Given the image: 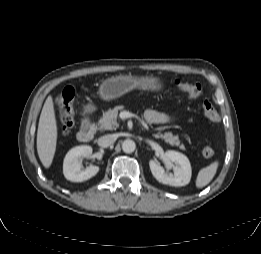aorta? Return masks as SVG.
<instances>
[{"mask_svg": "<svg viewBox=\"0 0 261 254\" xmlns=\"http://www.w3.org/2000/svg\"><path fill=\"white\" fill-rule=\"evenodd\" d=\"M136 149V144L133 140L127 139L122 143V150L125 153H132Z\"/></svg>", "mask_w": 261, "mask_h": 254, "instance_id": "762f6f07", "label": "aorta"}]
</instances>
